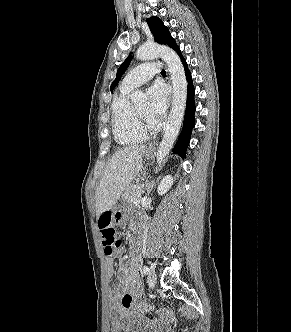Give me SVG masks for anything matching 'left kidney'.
<instances>
[{"label":"left kidney","mask_w":291,"mask_h":332,"mask_svg":"<svg viewBox=\"0 0 291 332\" xmlns=\"http://www.w3.org/2000/svg\"><path fill=\"white\" fill-rule=\"evenodd\" d=\"M172 184H173L172 176L171 175L165 176L161 180L157 188V192L159 193V195L165 194L169 190V188H171Z\"/></svg>","instance_id":"left-kidney-1"}]
</instances>
